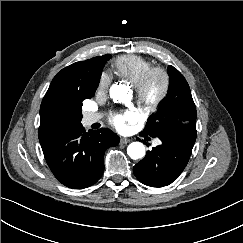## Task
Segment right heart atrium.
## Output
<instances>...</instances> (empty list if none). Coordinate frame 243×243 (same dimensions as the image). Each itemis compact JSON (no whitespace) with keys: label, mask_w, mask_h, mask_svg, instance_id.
I'll return each instance as SVG.
<instances>
[{"label":"right heart atrium","mask_w":243,"mask_h":243,"mask_svg":"<svg viewBox=\"0 0 243 243\" xmlns=\"http://www.w3.org/2000/svg\"><path fill=\"white\" fill-rule=\"evenodd\" d=\"M111 78L108 73L102 72L98 79L97 91L104 93L109 89Z\"/></svg>","instance_id":"obj_1"}]
</instances>
